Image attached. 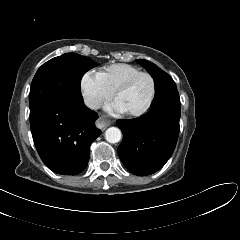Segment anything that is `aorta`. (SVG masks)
Segmentation results:
<instances>
[{"instance_id": "obj_1", "label": "aorta", "mask_w": 240, "mask_h": 240, "mask_svg": "<svg viewBox=\"0 0 240 240\" xmlns=\"http://www.w3.org/2000/svg\"><path fill=\"white\" fill-rule=\"evenodd\" d=\"M122 133L120 129L116 127H110L105 132L106 140L109 143H117L121 140Z\"/></svg>"}]
</instances>
